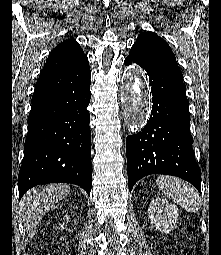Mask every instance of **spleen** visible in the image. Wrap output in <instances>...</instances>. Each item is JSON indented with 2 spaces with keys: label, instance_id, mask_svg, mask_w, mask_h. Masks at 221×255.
I'll use <instances>...</instances> for the list:
<instances>
[{
  "label": "spleen",
  "instance_id": "obj_1",
  "mask_svg": "<svg viewBox=\"0 0 221 255\" xmlns=\"http://www.w3.org/2000/svg\"><path fill=\"white\" fill-rule=\"evenodd\" d=\"M156 184L166 196L189 212H197L201 207L199 194L186 182L172 176H159Z\"/></svg>",
  "mask_w": 221,
  "mask_h": 255
}]
</instances>
